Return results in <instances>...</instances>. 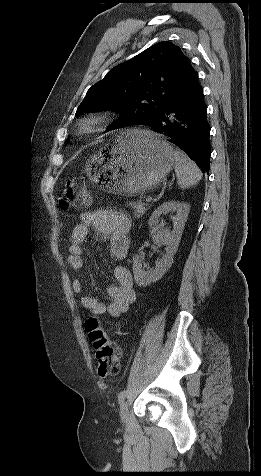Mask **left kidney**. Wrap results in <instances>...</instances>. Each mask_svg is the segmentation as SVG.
I'll return each instance as SVG.
<instances>
[{
    "instance_id": "left-kidney-1",
    "label": "left kidney",
    "mask_w": 261,
    "mask_h": 476,
    "mask_svg": "<svg viewBox=\"0 0 261 476\" xmlns=\"http://www.w3.org/2000/svg\"><path fill=\"white\" fill-rule=\"evenodd\" d=\"M189 210L190 205L187 203L168 201L161 204L150 216L148 221L150 228L158 226L160 216L169 212H176V222L172 230L160 228L152 236L156 244L166 246V253L161 259L156 261L155 268L146 271L142 265L141 257L139 255L133 257L134 279L139 286H147L152 282L158 281L172 266L173 257L178 250Z\"/></svg>"
}]
</instances>
